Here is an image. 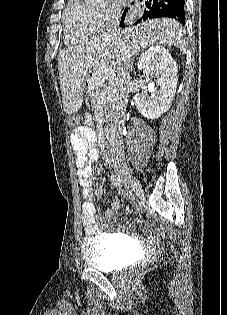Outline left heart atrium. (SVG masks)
I'll use <instances>...</instances> for the list:
<instances>
[{"label":"left heart atrium","instance_id":"obj_1","mask_svg":"<svg viewBox=\"0 0 227 315\" xmlns=\"http://www.w3.org/2000/svg\"><path fill=\"white\" fill-rule=\"evenodd\" d=\"M126 0H120V2L124 3Z\"/></svg>","mask_w":227,"mask_h":315}]
</instances>
